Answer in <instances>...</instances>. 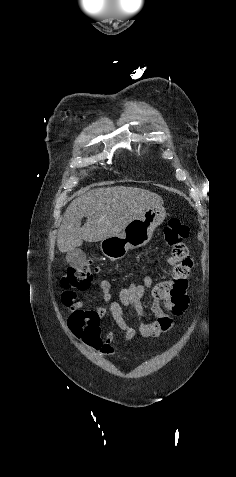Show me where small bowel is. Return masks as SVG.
I'll return each mask as SVG.
<instances>
[{"label": "small bowel", "mask_w": 236, "mask_h": 477, "mask_svg": "<svg viewBox=\"0 0 236 477\" xmlns=\"http://www.w3.org/2000/svg\"><path fill=\"white\" fill-rule=\"evenodd\" d=\"M174 272L172 279L154 283L150 276H146L140 284L131 283L122 287L119 300H112L111 282L108 279L100 281L102 299L108 303V308L100 306L86 309L82 302L75 301L73 292H64L61 296L63 306L69 311L67 325L70 333L78 340L83 341L105 356H114L121 348L112 346L113 333L101 336V320L110 316L125 335V341L136 336L142 338H158L168 333L174 325V318L182 316L188 308L189 296L187 293V275L192 268L190 256L179 263L173 262ZM183 273V274H181ZM146 289L151 290L152 303L150 313L154 320L147 322L140 320L138 329L128 324L125 308L142 318L145 313L143 297Z\"/></svg>", "instance_id": "obj_1"}]
</instances>
